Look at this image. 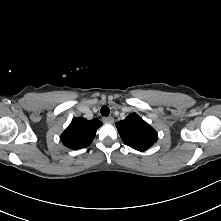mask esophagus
I'll return each mask as SVG.
<instances>
[{
	"instance_id": "obj_1",
	"label": "esophagus",
	"mask_w": 221,
	"mask_h": 221,
	"mask_svg": "<svg viewBox=\"0 0 221 221\" xmlns=\"http://www.w3.org/2000/svg\"><path fill=\"white\" fill-rule=\"evenodd\" d=\"M103 122L104 123H113L114 122V118L113 117H103Z\"/></svg>"
}]
</instances>
